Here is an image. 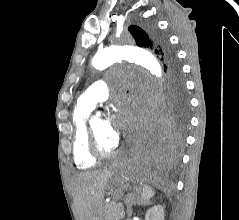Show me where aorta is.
Segmentation results:
<instances>
[{"label": "aorta", "mask_w": 239, "mask_h": 220, "mask_svg": "<svg viewBox=\"0 0 239 220\" xmlns=\"http://www.w3.org/2000/svg\"><path fill=\"white\" fill-rule=\"evenodd\" d=\"M126 45H111L96 53L92 65L103 70L118 61H133L134 65H143L148 76L153 78L158 86H162L163 72L160 64L149 48H126Z\"/></svg>", "instance_id": "aorta-1"}]
</instances>
